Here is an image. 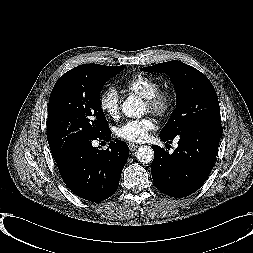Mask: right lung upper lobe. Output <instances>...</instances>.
I'll return each mask as SVG.
<instances>
[{"instance_id":"right-lung-upper-lobe-1","label":"right lung upper lobe","mask_w":253,"mask_h":253,"mask_svg":"<svg viewBox=\"0 0 253 253\" xmlns=\"http://www.w3.org/2000/svg\"><path fill=\"white\" fill-rule=\"evenodd\" d=\"M59 158H60V157H56V158H54V159H55V161H56V160H58Z\"/></svg>"}]
</instances>
